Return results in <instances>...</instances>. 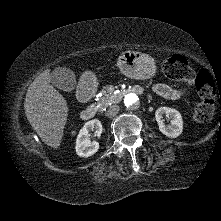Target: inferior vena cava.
<instances>
[{
	"label": "inferior vena cava",
	"mask_w": 221,
	"mask_h": 221,
	"mask_svg": "<svg viewBox=\"0 0 221 221\" xmlns=\"http://www.w3.org/2000/svg\"><path fill=\"white\" fill-rule=\"evenodd\" d=\"M119 110H120V107L118 105H112L106 112V116L110 118L114 117L116 114H118Z\"/></svg>",
	"instance_id": "1"
}]
</instances>
